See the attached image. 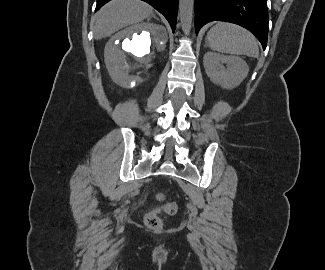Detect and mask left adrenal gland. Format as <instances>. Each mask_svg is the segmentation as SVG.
<instances>
[{"mask_svg":"<svg viewBox=\"0 0 325 270\" xmlns=\"http://www.w3.org/2000/svg\"><path fill=\"white\" fill-rule=\"evenodd\" d=\"M207 46H208V42L206 41V43H205L204 47H207Z\"/></svg>","mask_w":325,"mask_h":270,"instance_id":"left-adrenal-gland-1","label":"left adrenal gland"}]
</instances>
